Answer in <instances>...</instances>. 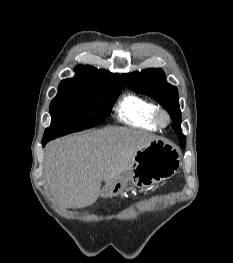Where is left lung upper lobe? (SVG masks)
<instances>
[{"label": "left lung upper lobe", "instance_id": "obj_1", "mask_svg": "<svg viewBox=\"0 0 233 263\" xmlns=\"http://www.w3.org/2000/svg\"><path fill=\"white\" fill-rule=\"evenodd\" d=\"M128 88L135 92L149 95L158 101L170 114L175 131L179 138L184 137L181 131V111L177 88L168 84L165 74L159 69L149 68L122 75Z\"/></svg>", "mask_w": 233, "mask_h": 263}]
</instances>
